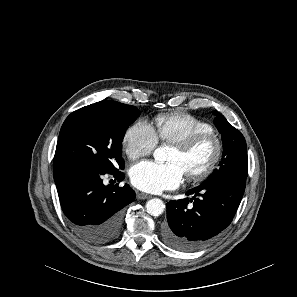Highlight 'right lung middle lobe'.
I'll list each match as a JSON object with an SVG mask.
<instances>
[{
	"label": "right lung middle lobe",
	"instance_id": "1",
	"mask_svg": "<svg viewBox=\"0 0 297 297\" xmlns=\"http://www.w3.org/2000/svg\"><path fill=\"white\" fill-rule=\"evenodd\" d=\"M140 115L135 106L114 101L108 106H86L71 113L59 133L54 163L76 162L103 173L124 168L122 140Z\"/></svg>",
	"mask_w": 297,
	"mask_h": 297
}]
</instances>
